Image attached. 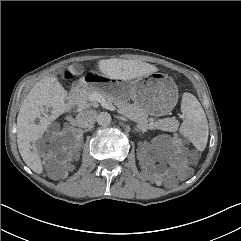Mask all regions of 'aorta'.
<instances>
[{
  "mask_svg": "<svg viewBox=\"0 0 241 241\" xmlns=\"http://www.w3.org/2000/svg\"><path fill=\"white\" fill-rule=\"evenodd\" d=\"M96 121L100 126L105 127L110 125L112 117L108 112H101L98 114Z\"/></svg>",
  "mask_w": 241,
  "mask_h": 241,
  "instance_id": "obj_1",
  "label": "aorta"
}]
</instances>
